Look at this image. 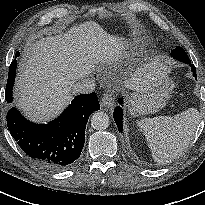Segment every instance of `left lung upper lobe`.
I'll use <instances>...</instances> for the list:
<instances>
[{"label": "left lung upper lobe", "mask_w": 205, "mask_h": 205, "mask_svg": "<svg viewBox=\"0 0 205 205\" xmlns=\"http://www.w3.org/2000/svg\"><path fill=\"white\" fill-rule=\"evenodd\" d=\"M171 56L183 63H190V59L186 54L185 50L181 47H176L172 52Z\"/></svg>", "instance_id": "obj_1"}]
</instances>
